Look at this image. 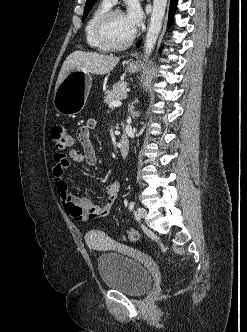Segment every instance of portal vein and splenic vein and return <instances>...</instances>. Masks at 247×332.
Returning a JSON list of instances; mask_svg holds the SVG:
<instances>
[{"instance_id": "1", "label": "portal vein and splenic vein", "mask_w": 247, "mask_h": 332, "mask_svg": "<svg viewBox=\"0 0 247 332\" xmlns=\"http://www.w3.org/2000/svg\"><path fill=\"white\" fill-rule=\"evenodd\" d=\"M121 102L119 100H115V101H112L110 104H109V107L113 108V107H119L121 106Z\"/></svg>"}]
</instances>
